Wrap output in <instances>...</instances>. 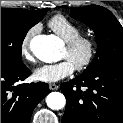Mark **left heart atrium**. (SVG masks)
Listing matches in <instances>:
<instances>
[{
  "label": "left heart atrium",
  "instance_id": "39dd6f15",
  "mask_svg": "<svg viewBox=\"0 0 123 123\" xmlns=\"http://www.w3.org/2000/svg\"><path fill=\"white\" fill-rule=\"evenodd\" d=\"M74 65L68 59L59 63L45 64L37 68L34 72L36 80L46 83L57 82L70 76L74 72Z\"/></svg>",
  "mask_w": 123,
  "mask_h": 123
}]
</instances>
